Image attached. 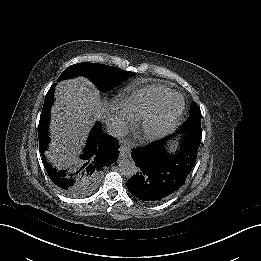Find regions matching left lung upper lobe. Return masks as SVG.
<instances>
[{"label":"left lung upper lobe","instance_id":"1","mask_svg":"<svg viewBox=\"0 0 261 261\" xmlns=\"http://www.w3.org/2000/svg\"><path fill=\"white\" fill-rule=\"evenodd\" d=\"M201 111L195 102H192L188 120L185 122L184 132L187 136L192 137L198 142H201Z\"/></svg>","mask_w":261,"mask_h":261}]
</instances>
